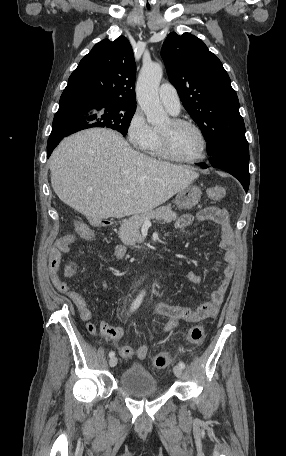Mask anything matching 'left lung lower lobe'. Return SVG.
Segmentation results:
<instances>
[{
    "instance_id": "left-lung-lower-lobe-1",
    "label": "left lung lower lobe",
    "mask_w": 286,
    "mask_h": 456,
    "mask_svg": "<svg viewBox=\"0 0 286 456\" xmlns=\"http://www.w3.org/2000/svg\"><path fill=\"white\" fill-rule=\"evenodd\" d=\"M210 163L213 167L222 169L235 178L242 184L247 192L249 188V147L248 146H228L215 150L211 154ZM202 168L208 166L204 163H198Z\"/></svg>"
}]
</instances>
